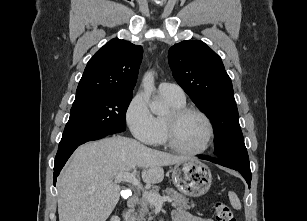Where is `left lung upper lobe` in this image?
I'll return each mask as SVG.
<instances>
[{
  "instance_id": "1",
  "label": "left lung upper lobe",
  "mask_w": 307,
  "mask_h": 221,
  "mask_svg": "<svg viewBox=\"0 0 307 221\" xmlns=\"http://www.w3.org/2000/svg\"><path fill=\"white\" fill-rule=\"evenodd\" d=\"M173 77L215 127L217 158L249 164L232 82L221 58L204 42L182 41L168 52Z\"/></svg>"
}]
</instances>
